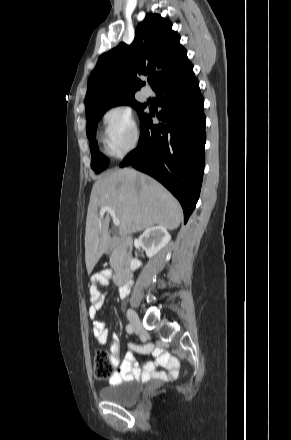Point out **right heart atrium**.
<instances>
[{"label":"right heart atrium","mask_w":291,"mask_h":440,"mask_svg":"<svg viewBox=\"0 0 291 440\" xmlns=\"http://www.w3.org/2000/svg\"><path fill=\"white\" fill-rule=\"evenodd\" d=\"M103 123L105 145L112 155L122 157L136 147L139 133L130 107L119 105L109 109Z\"/></svg>","instance_id":"obj_1"}]
</instances>
